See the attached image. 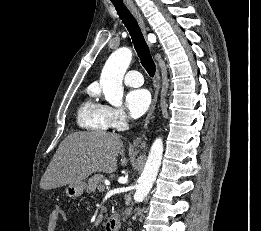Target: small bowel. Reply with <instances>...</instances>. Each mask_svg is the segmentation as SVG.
<instances>
[{"instance_id": "obj_1", "label": "small bowel", "mask_w": 261, "mask_h": 231, "mask_svg": "<svg viewBox=\"0 0 261 231\" xmlns=\"http://www.w3.org/2000/svg\"><path fill=\"white\" fill-rule=\"evenodd\" d=\"M65 213L60 207H55L48 216L47 229L48 231H55L58 226L59 219H65Z\"/></svg>"}]
</instances>
